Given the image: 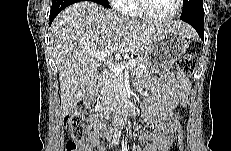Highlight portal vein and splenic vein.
<instances>
[{
    "label": "portal vein and splenic vein",
    "instance_id": "1",
    "mask_svg": "<svg viewBox=\"0 0 231 151\" xmlns=\"http://www.w3.org/2000/svg\"><path fill=\"white\" fill-rule=\"evenodd\" d=\"M116 50L117 47H113L105 51H94L91 54L96 58L97 61L104 62L108 69L116 75H121L126 68H133L136 66L137 61L135 59L130 60L125 64H116L106 61V58Z\"/></svg>",
    "mask_w": 231,
    "mask_h": 151
}]
</instances>
